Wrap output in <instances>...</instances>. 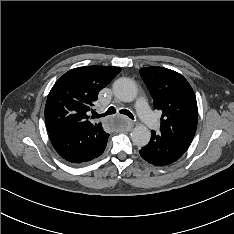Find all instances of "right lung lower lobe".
Listing matches in <instances>:
<instances>
[{"label": "right lung lower lobe", "instance_id": "obj_1", "mask_svg": "<svg viewBox=\"0 0 234 234\" xmlns=\"http://www.w3.org/2000/svg\"><path fill=\"white\" fill-rule=\"evenodd\" d=\"M49 137L62 158L71 163H82L104 152L109 134L101 125H80L50 133Z\"/></svg>", "mask_w": 234, "mask_h": 234}]
</instances>
